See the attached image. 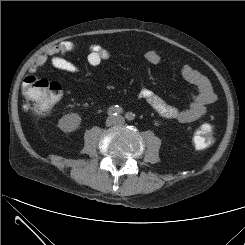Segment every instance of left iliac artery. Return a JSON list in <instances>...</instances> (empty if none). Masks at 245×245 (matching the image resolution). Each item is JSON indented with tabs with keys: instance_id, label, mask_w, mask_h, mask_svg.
<instances>
[{
	"instance_id": "obj_1",
	"label": "left iliac artery",
	"mask_w": 245,
	"mask_h": 245,
	"mask_svg": "<svg viewBox=\"0 0 245 245\" xmlns=\"http://www.w3.org/2000/svg\"><path fill=\"white\" fill-rule=\"evenodd\" d=\"M134 116L135 115L132 112H128V113L125 114L126 119L129 120V121L133 120Z\"/></svg>"
}]
</instances>
